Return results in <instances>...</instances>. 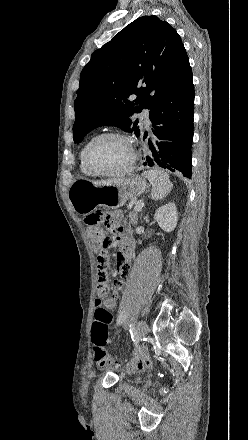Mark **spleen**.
<instances>
[{"label":"spleen","mask_w":248,"mask_h":440,"mask_svg":"<svg viewBox=\"0 0 248 440\" xmlns=\"http://www.w3.org/2000/svg\"><path fill=\"white\" fill-rule=\"evenodd\" d=\"M143 176L152 184L151 196L154 200L163 199L172 190L173 184L169 179V174L163 170H148L143 173Z\"/></svg>","instance_id":"spleen-1"}]
</instances>
